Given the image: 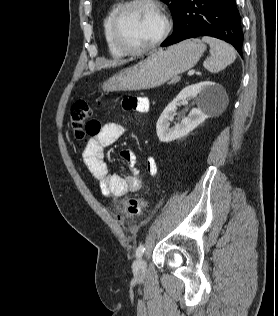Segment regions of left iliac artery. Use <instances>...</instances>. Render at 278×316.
Instances as JSON below:
<instances>
[{"instance_id":"1","label":"left iliac artery","mask_w":278,"mask_h":316,"mask_svg":"<svg viewBox=\"0 0 278 316\" xmlns=\"http://www.w3.org/2000/svg\"><path fill=\"white\" fill-rule=\"evenodd\" d=\"M145 251V246L143 244H140L139 247L136 250V256L141 257Z\"/></svg>"}]
</instances>
